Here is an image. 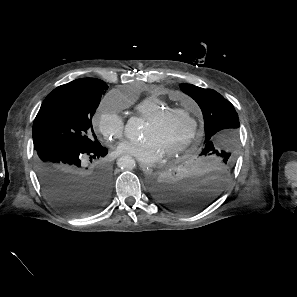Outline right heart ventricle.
<instances>
[{
    "label": "right heart ventricle",
    "instance_id": "right-heart-ventricle-1",
    "mask_svg": "<svg viewBox=\"0 0 297 297\" xmlns=\"http://www.w3.org/2000/svg\"><path fill=\"white\" fill-rule=\"evenodd\" d=\"M168 108V104L162 98L155 96L147 97L135 106L138 115L145 120Z\"/></svg>",
    "mask_w": 297,
    "mask_h": 297
}]
</instances>
